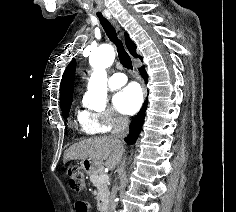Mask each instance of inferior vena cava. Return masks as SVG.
<instances>
[{
	"label": "inferior vena cava",
	"instance_id": "inferior-vena-cava-1",
	"mask_svg": "<svg viewBox=\"0 0 236 212\" xmlns=\"http://www.w3.org/2000/svg\"><path fill=\"white\" fill-rule=\"evenodd\" d=\"M129 133V119L128 117L119 116L113 125L111 136L114 139L123 140ZM116 191H113L112 201L115 199Z\"/></svg>",
	"mask_w": 236,
	"mask_h": 212
}]
</instances>
